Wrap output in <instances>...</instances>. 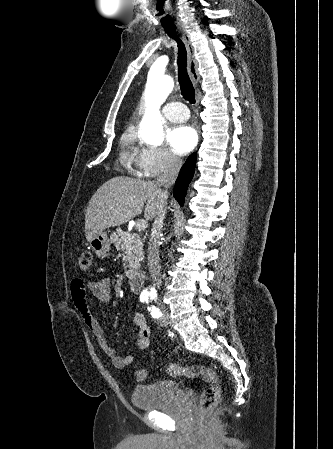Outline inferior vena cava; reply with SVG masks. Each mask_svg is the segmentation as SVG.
Masks as SVG:
<instances>
[{
    "mask_svg": "<svg viewBox=\"0 0 333 449\" xmlns=\"http://www.w3.org/2000/svg\"><path fill=\"white\" fill-rule=\"evenodd\" d=\"M182 166V160L175 156L170 155L168 164L163 173L158 178V185L163 186L167 193V189L173 185L178 176L179 170ZM165 218V204L159 207L156 214L152 232L148 246V266L154 285L159 288L161 284V266L159 257V242L161 239L163 220Z\"/></svg>",
    "mask_w": 333,
    "mask_h": 449,
    "instance_id": "inferior-vena-cava-1",
    "label": "inferior vena cava"
}]
</instances>
